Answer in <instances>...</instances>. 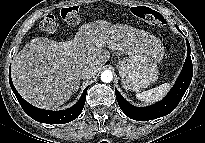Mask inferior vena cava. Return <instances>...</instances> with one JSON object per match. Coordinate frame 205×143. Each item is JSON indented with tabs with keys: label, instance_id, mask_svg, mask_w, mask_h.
Here are the masks:
<instances>
[{
	"label": "inferior vena cava",
	"instance_id": "inferior-vena-cava-1",
	"mask_svg": "<svg viewBox=\"0 0 205 143\" xmlns=\"http://www.w3.org/2000/svg\"><path fill=\"white\" fill-rule=\"evenodd\" d=\"M96 74V68L92 65L84 66L80 71L81 78H91Z\"/></svg>",
	"mask_w": 205,
	"mask_h": 143
}]
</instances>
